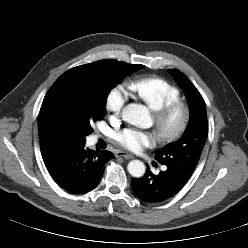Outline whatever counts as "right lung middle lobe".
I'll return each instance as SVG.
<instances>
[{
  "label": "right lung middle lobe",
  "instance_id": "right-lung-middle-lobe-1",
  "mask_svg": "<svg viewBox=\"0 0 248 248\" xmlns=\"http://www.w3.org/2000/svg\"><path fill=\"white\" fill-rule=\"evenodd\" d=\"M144 68L116 60H100L62 74L47 92L38 119L84 144L91 125L102 120L107 96L117 81Z\"/></svg>",
  "mask_w": 248,
  "mask_h": 248
}]
</instances>
